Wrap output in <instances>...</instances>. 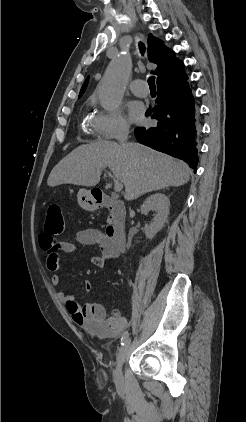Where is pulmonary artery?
Returning a JSON list of instances; mask_svg holds the SVG:
<instances>
[{
    "label": "pulmonary artery",
    "mask_w": 246,
    "mask_h": 422,
    "mask_svg": "<svg viewBox=\"0 0 246 422\" xmlns=\"http://www.w3.org/2000/svg\"><path fill=\"white\" fill-rule=\"evenodd\" d=\"M129 87L131 91L139 97H146L149 93L146 82L141 79L131 81Z\"/></svg>",
    "instance_id": "e3ab8cb5"
}]
</instances>
